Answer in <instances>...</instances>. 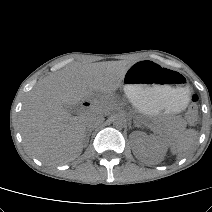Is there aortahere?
I'll list each match as a JSON object with an SVG mask.
<instances>
[{
	"label": "aorta",
	"instance_id": "aorta-1",
	"mask_svg": "<svg viewBox=\"0 0 212 212\" xmlns=\"http://www.w3.org/2000/svg\"><path fill=\"white\" fill-rule=\"evenodd\" d=\"M113 126L123 128L126 125V118L123 115L117 114L113 117Z\"/></svg>",
	"mask_w": 212,
	"mask_h": 212
}]
</instances>
